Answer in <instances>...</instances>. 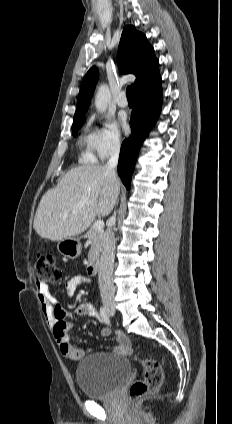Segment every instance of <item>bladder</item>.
<instances>
[{"label":"bladder","instance_id":"bladder-1","mask_svg":"<svg viewBox=\"0 0 232 424\" xmlns=\"http://www.w3.org/2000/svg\"><path fill=\"white\" fill-rule=\"evenodd\" d=\"M131 371L129 360L123 356L94 353L77 365L75 378L85 397L104 399L119 389Z\"/></svg>","mask_w":232,"mask_h":424}]
</instances>
